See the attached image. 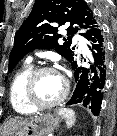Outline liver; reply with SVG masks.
<instances>
[{
    "label": "liver",
    "instance_id": "1",
    "mask_svg": "<svg viewBox=\"0 0 117 136\" xmlns=\"http://www.w3.org/2000/svg\"><path fill=\"white\" fill-rule=\"evenodd\" d=\"M27 120H23L19 117L11 118L4 123L3 127V136H11L15 131H17L20 127L27 124Z\"/></svg>",
    "mask_w": 117,
    "mask_h": 136
}]
</instances>
